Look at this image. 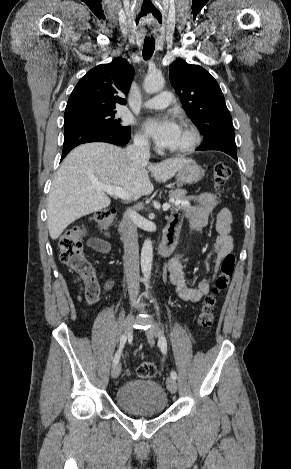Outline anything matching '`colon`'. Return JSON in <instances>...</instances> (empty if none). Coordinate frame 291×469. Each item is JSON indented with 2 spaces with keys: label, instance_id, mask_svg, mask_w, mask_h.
I'll return each mask as SVG.
<instances>
[{
  "label": "colon",
  "instance_id": "obj_1",
  "mask_svg": "<svg viewBox=\"0 0 291 469\" xmlns=\"http://www.w3.org/2000/svg\"><path fill=\"white\" fill-rule=\"evenodd\" d=\"M231 174L232 170L229 165L222 162L214 165L212 177L217 191L229 180ZM113 216L114 211L112 209L100 210L90 216L89 223L95 228L103 229L110 224ZM86 231L87 229L84 224L75 226L67 230L59 241V257L61 262L74 271L79 279L85 281L91 278L96 280L90 264L84 257L83 237ZM235 263L236 257L232 253L226 255L221 261L213 291L204 299L198 316L197 321L200 327L209 328L213 325L217 307L216 294L227 288L235 268ZM85 299L89 305L95 304L99 299V289L94 286H87ZM155 373V365L149 361L141 363L137 368L138 376L143 379L151 378Z\"/></svg>",
  "mask_w": 291,
  "mask_h": 469
}]
</instances>
